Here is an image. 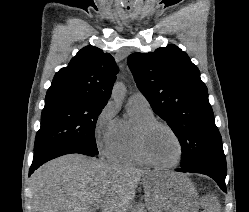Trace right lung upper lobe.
Masks as SVG:
<instances>
[{"mask_svg":"<svg viewBox=\"0 0 249 212\" xmlns=\"http://www.w3.org/2000/svg\"><path fill=\"white\" fill-rule=\"evenodd\" d=\"M118 67L109 53L86 46L69 65L56 73L46 98L78 97L106 105L111 95Z\"/></svg>","mask_w":249,"mask_h":212,"instance_id":"obj_1","label":"right lung upper lobe"}]
</instances>
